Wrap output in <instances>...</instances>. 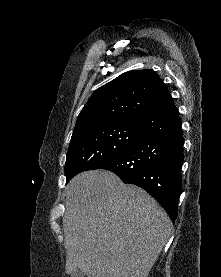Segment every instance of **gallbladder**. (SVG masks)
Listing matches in <instances>:
<instances>
[{
	"instance_id": "bac80fb5",
	"label": "gallbladder",
	"mask_w": 221,
	"mask_h": 277,
	"mask_svg": "<svg viewBox=\"0 0 221 277\" xmlns=\"http://www.w3.org/2000/svg\"><path fill=\"white\" fill-rule=\"evenodd\" d=\"M71 277H85V273L78 269L71 273Z\"/></svg>"
}]
</instances>
